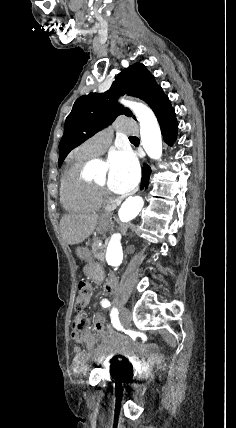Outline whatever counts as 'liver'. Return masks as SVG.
<instances>
[{
    "mask_svg": "<svg viewBox=\"0 0 236 428\" xmlns=\"http://www.w3.org/2000/svg\"><path fill=\"white\" fill-rule=\"evenodd\" d=\"M99 216L85 214H65L60 220L62 240L66 244H81L98 226Z\"/></svg>",
    "mask_w": 236,
    "mask_h": 428,
    "instance_id": "obj_1",
    "label": "liver"
}]
</instances>
